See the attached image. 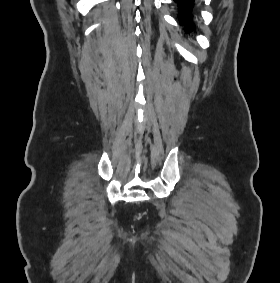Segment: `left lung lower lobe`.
<instances>
[{"mask_svg": "<svg viewBox=\"0 0 280 283\" xmlns=\"http://www.w3.org/2000/svg\"><path fill=\"white\" fill-rule=\"evenodd\" d=\"M178 6V17L179 23L185 27L186 32L194 30V25L192 24L193 14V2L194 0H174Z\"/></svg>", "mask_w": 280, "mask_h": 283, "instance_id": "obj_1", "label": "left lung lower lobe"}]
</instances>
